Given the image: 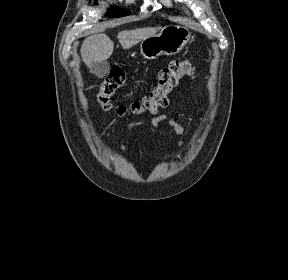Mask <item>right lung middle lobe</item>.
<instances>
[{
	"label": "right lung middle lobe",
	"mask_w": 288,
	"mask_h": 280,
	"mask_svg": "<svg viewBox=\"0 0 288 280\" xmlns=\"http://www.w3.org/2000/svg\"><path fill=\"white\" fill-rule=\"evenodd\" d=\"M129 14H130V12L127 11V10H123V9H120V8L113 7L110 10H108V13H106V16L117 18V17L129 15Z\"/></svg>",
	"instance_id": "dd1d6c3e"
}]
</instances>
